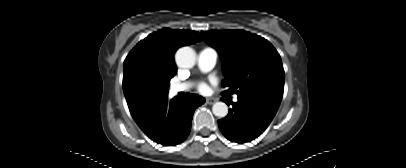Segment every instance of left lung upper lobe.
<instances>
[{"label": "left lung upper lobe", "instance_id": "left-lung-upper-lobe-1", "mask_svg": "<svg viewBox=\"0 0 406 168\" xmlns=\"http://www.w3.org/2000/svg\"><path fill=\"white\" fill-rule=\"evenodd\" d=\"M202 33L221 55L225 75L222 87H227L228 93L281 101L285 73L281 57L269 41L244 30Z\"/></svg>", "mask_w": 406, "mask_h": 168}]
</instances>
